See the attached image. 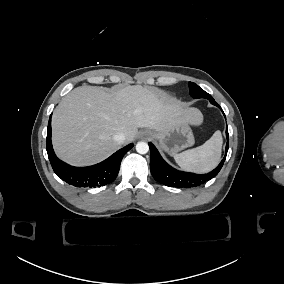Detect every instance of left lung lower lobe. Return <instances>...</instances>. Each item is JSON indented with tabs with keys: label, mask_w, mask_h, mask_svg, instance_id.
Here are the masks:
<instances>
[{
	"label": "left lung lower lobe",
	"mask_w": 284,
	"mask_h": 284,
	"mask_svg": "<svg viewBox=\"0 0 284 284\" xmlns=\"http://www.w3.org/2000/svg\"><path fill=\"white\" fill-rule=\"evenodd\" d=\"M211 103L219 107L223 112L222 108L215 101ZM226 136H227L226 154L223 160L213 171L202 175L181 172L172 168L163 160V158L161 157L155 146L152 143H149L150 153H151L150 171L152 176L156 181L170 187L187 188V187H196L204 184L206 181L215 177L223 166L228 151V138H229L228 129H226Z\"/></svg>",
	"instance_id": "obj_1"
}]
</instances>
